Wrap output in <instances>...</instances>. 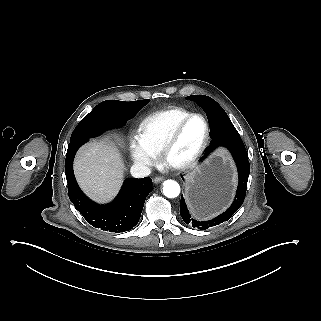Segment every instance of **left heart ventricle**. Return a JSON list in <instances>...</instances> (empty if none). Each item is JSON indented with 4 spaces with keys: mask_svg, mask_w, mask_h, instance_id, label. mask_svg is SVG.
Listing matches in <instances>:
<instances>
[{
    "mask_svg": "<svg viewBox=\"0 0 321 321\" xmlns=\"http://www.w3.org/2000/svg\"><path fill=\"white\" fill-rule=\"evenodd\" d=\"M205 134L202 119L196 117L190 120L181 130L173 153L172 162H182L189 159L201 144Z\"/></svg>",
    "mask_w": 321,
    "mask_h": 321,
    "instance_id": "obj_1",
    "label": "left heart ventricle"
}]
</instances>
